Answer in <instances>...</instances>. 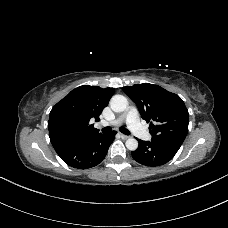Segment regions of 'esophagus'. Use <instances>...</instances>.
<instances>
[{
  "label": "esophagus",
  "instance_id": "obj_1",
  "mask_svg": "<svg viewBox=\"0 0 228 228\" xmlns=\"http://www.w3.org/2000/svg\"><path fill=\"white\" fill-rule=\"evenodd\" d=\"M120 137H121L122 139H124V140H126V139H128V138H129V136L124 135V134H120Z\"/></svg>",
  "mask_w": 228,
  "mask_h": 228
}]
</instances>
